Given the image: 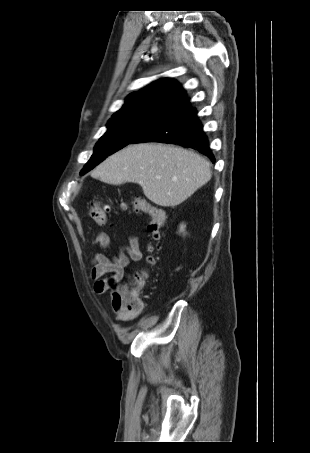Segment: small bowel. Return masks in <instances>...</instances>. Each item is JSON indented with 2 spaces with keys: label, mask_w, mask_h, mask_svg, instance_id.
Returning a JSON list of instances; mask_svg holds the SVG:
<instances>
[{
  "label": "small bowel",
  "mask_w": 310,
  "mask_h": 453,
  "mask_svg": "<svg viewBox=\"0 0 310 453\" xmlns=\"http://www.w3.org/2000/svg\"><path fill=\"white\" fill-rule=\"evenodd\" d=\"M92 244L99 245L103 250L110 249L109 237L100 232L95 235ZM142 258V251L137 237L129 236L128 243L123 246L117 255L108 257L103 253H97L94 257L95 265L91 271V277L94 279L93 289L96 294H103L111 288L112 282H120L125 274V270L131 262H138ZM119 321H129L135 318L125 317L117 313Z\"/></svg>",
  "instance_id": "obj_1"
}]
</instances>
